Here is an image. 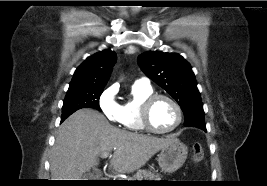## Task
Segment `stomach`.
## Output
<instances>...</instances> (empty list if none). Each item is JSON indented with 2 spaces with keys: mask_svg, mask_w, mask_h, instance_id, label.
<instances>
[{
  "mask_svg": "<svg viewBox=\"0 0 267 186\" xmlns=\"http://www.w3.org/2000/svg\"><path fill=\"white\" fill-rule=\"evenodd\" d=\"M188 154L185 144L174 138L171 143L161 149L158 155V163L162 171L173 173L184 164Z\"/></svg>",
  "mask_w": 267,
  "mask_h": 186,
  "instance_id": "obj_1",
  "label": "stomach"
}]
</instances>
